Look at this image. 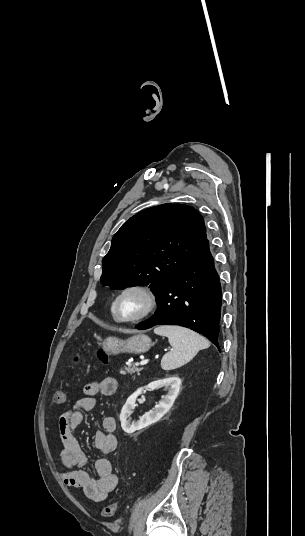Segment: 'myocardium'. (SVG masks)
Listing matches in <instances>:
<instances>
[{
    "mask_svg": "<svg viewBox=\"0 0 305 536\" xmlns=\"http://www.w3.org/2000/svg\"><path fill=\"white\" fill-rule=\"evenodd\" d=\"M131 290H139L145 294V296L147 297V308L141 315L134 317V318L125 319L119 315L118 303H119L120 298L126 292L131 291ZM158 304H159L158 296L155 290L150 285L145 284V283H131V284L124 286L116 294L111 304V311H112V315L116 323L120 325H137L139 323L144 322L148 318H150L151 315L156 311Z\"/></svg>",
    "mask_w": 305,
    "mask_h": 536,
    "instance_id": "1",
    "label": "myocardium"
}]
</instances>
